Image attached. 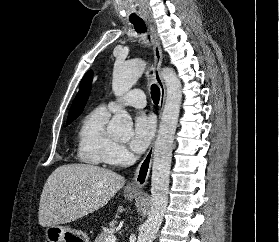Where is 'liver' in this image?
Instances as JSON below:
<instances>
[{
	"mask_svg": "<svg viewBox=\"0 0 279 242\" xmlns=\"http://www.w3.org/2000/svg\"><path fill=\"white\" fill-rule=\"evenodd\" d=\"M120 174L89 164H67L48 177L39 204L43 227L75 221L103 207L124 186Z\"/></svg>",
	"mask_w": 279,
	"mask_h": 242,
	"instance_id": "liver-1",
	"label": "liver"
}]
</instances>
